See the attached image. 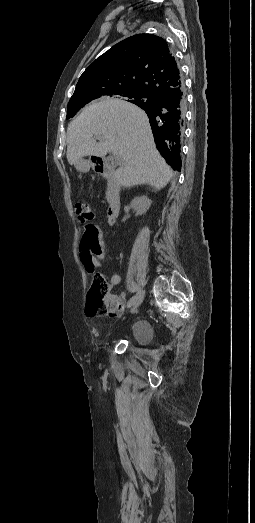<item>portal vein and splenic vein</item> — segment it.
<instances>
[{
	"mask_svg": "<svg viewBox=\"0 0 255 523\" xmlns=\"http://www.w3.org/2000/svg\"><path fill=\"white\" fill-rule=\"evenodd\" d=\"M114 154V152H113ZM115 156H117V154H115ZM118 162H123V160H121V158H119L118 156ZM117 168H122V163H117Z\"/></svg>",
	"mask_w": 255,
	"mask_h": 523,
	"instance_id": "portal-vein-and-splenic-vein-1",
	"label": "portal vein and splenic vein"
}]
</instances>
